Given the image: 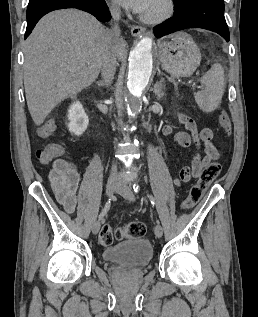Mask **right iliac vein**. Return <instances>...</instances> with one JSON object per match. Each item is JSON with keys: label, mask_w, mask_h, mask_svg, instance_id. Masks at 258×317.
<instances>
[{"label": "right iliac vein", "mask_w": 258, "mask_h": 317, "mask_svg": "<svg viewBox=\"0 0 258 317\" xmlns=\"http://www.w3.org/2000/svg\"><path fill=\"white\" fill-rule=\"evenodd\" d=\"M120 181L119 179H110L108 180L107 184H106V195L108 197H111L113 195V192L115 191L116 187L119 186ZM100 221H95V223L92 225V230L94 232V234L96 235L97 233L100 232Z\"/></svg>", "instance_id": "63e3f726"}]
</instances>
